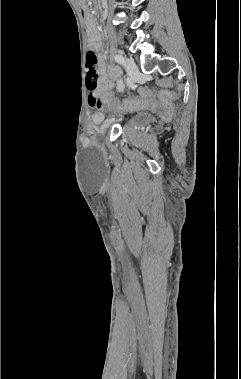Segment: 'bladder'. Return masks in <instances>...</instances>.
<instances>
[{
    "label": "bladder",
    "mask_w": 241,
    "mask_h": 379,
    "mask_svg": "<svg viewBox=\"0 0 241 379\" xmlns=\"http://www.w3.org/2000/svg\"><path fill=\"white\" fill-rule=\"evenodd\" d=\"M154 119V116L152 113L148 111H142L136 114V116L133 119L132 124L134 126H145L149 124Z\"/></svg>",
    "instance_id": "31cf9c89"
}]
</instances>
